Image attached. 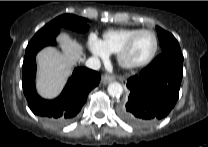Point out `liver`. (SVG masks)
<instances>
[{"label":"liver","instance_id":"6515ba94","mask_svg":"<svg viewBox=\"0 0 208 147\" xmlns=\"http://www.w3.org/2000/svg\"><path fill=\"white\" fill-rule=\"evenodd\" d=\"M57 40L62 52L47 47L37 55L36 87L38 93L48 99L56 97L61 92L73 67L84 57L83 46L67 34L61 33Z\"/></svg>","mask_w":208,"mask_h":147}]
</instances>
